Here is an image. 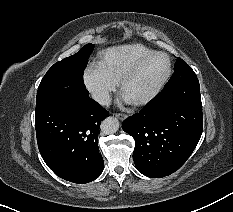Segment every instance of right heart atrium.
I'll return each instance as SVG.
<instances>
[{"label":"right heart atrium","mask_w":233,"mask_h":212,"mask_svg":"<svg viewBox=\"0 0 233 212\" xmlns=\"http://www.w3.org/2000/svg\"><path fill=\"white\" fill-rule=\"evenodd\" d=\"M83 84L91 97L99 104L106 105L118 82L109 76L99 63L89 64L83 72Z\"/></svg>","instance_id":"d8ad5b80"}]
</instances>
